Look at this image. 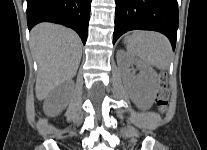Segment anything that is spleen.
<instances>
[{
    "instance_id": "spleen-1",
    "label": "spleen",
    "mask_w": 207,
    "mask_h": 150,
    "mask_svg": "<svg viewBox=\"0 0 207 150\" xmlns=\"http://www.w3.org/2000/svg\"><path fill=\"white\" fill-rule=\"evenodd\" d=\"M131 56L139 57L143 63L160 70H167L172 58L169 40L162 34L149 31L134 32L127 43Z\"/></svg>"
}]
</instances>
